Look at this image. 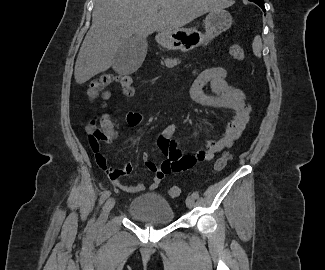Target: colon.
<instances>
[{
	"instance_id": "5ec220e1",
	"label": "colon",
	"mask_w": 325,
	"mask_h": 270,
	"mask_svg": "<svg viewBox=\"0 0 325 270\" xmlns=\"http://www.w3.org/2000/svg\"><path fill=\"white\" fill-rule=\"evenodd\" d=\"M228 55L237 60L243 61L245 58L244 50L239 45H232L228 50ZM117 82L122 90V93L130 97L134 93L132 77L128 75L117 76L110 73L101 74L95 78L87 91L90 99L95 100L97 98H108L109 94L105 89L112 84ZM194 82V79L192 83ZM86 130L88 133V139L91 149L97 153L99 152L100 141H110L113 136V129L110 120L103 116L100 119L93 118L89 120ZM231 156L229 153L223 154L215 163L214 169L216 171L222 170L230 160ZM181 194V189L178 186H171L169 188V195L171 197H178Z\"/></svg>"
}]
</instances>
